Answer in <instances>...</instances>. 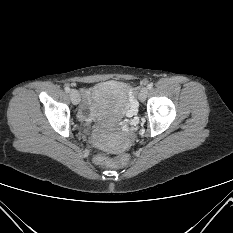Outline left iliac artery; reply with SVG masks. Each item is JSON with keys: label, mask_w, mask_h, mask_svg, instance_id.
I'll use <instances>...</instances> for the list:
<instances>
[{"label": "left iliac artery", "mask_w": 233, "mask_h": 233, "mask_svg": "<svg viewBox=\"0 0 233 233\" xmlns=\"http://www.w3.org/2000/svg\"><path fill=\"white\" fill-rule=\"evenodd\" d=\"M147 88L148 89H152L153 88V84L152 83L148 84Z\"/></svg>", "instance_id": "1"}]
</instances>
